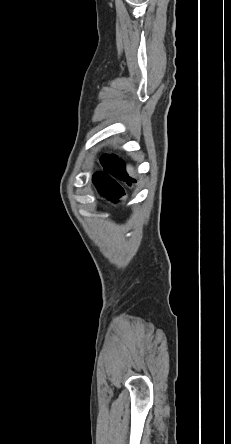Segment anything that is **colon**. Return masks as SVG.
I'll list each match as a JSON object with an SVG mask.
<instances>
[{
	"label": "colon",
	"instance_id": "obj_1",
	"mask_svg": "<svg viewBox=\"0 0 231 444\" xmlns=\"http://www.w3.org/2000/svg\"><path fill=\"white\" fill-rule=\"evenodd\" d=\"M102 169L95 173L93 181L101 186H104L106 199L118 202L125 197V190L120 182L127 180V175L124 169V163L112 156L105 154L101 158Z\"/></svg>",
	"mask_w": 231,
	"mask_h": 444
}]
</instances>
